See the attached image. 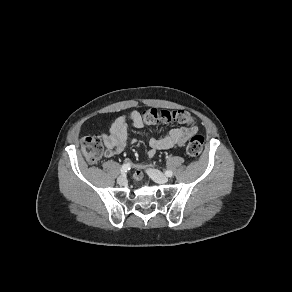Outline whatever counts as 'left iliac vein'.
<instances>
[{
	"instance_id": "obj_1",
	"label": "left iliac vein",
	"mask_w": 292,
	"mask_h": 292,
	"mask_svg": "<svg viewBox=\"0 0 292 292\" xmlns=\"http://www.w3.org/2000/svg\"><path fill=\"white\" fill-rule=\"evenodd\" d=\"M147 173L157 183L165 184L168 182V178L157 169L150 168L147 170Z\"/></svg>"
}]
</instances>
